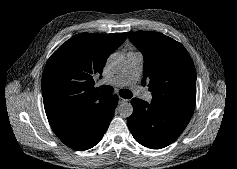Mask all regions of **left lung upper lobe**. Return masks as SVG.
I'll return each instance as SVG.
<instances>
[{
    "label": "left lung upper lobe",
    "mask_w": 237,
    "mask_h": 169,
    "mask_svg": "<svg viewBox=\"0 0 237 169\" xmlns=\"http://www.w3.org/2000/svg\"><path fill=\"white\" fill-rule=\"evenodd\" d=\"M144 56V80H149L152 100L193 114L196 104V71L184 46L159 32L128 33Z\"/></svg>",
    "instance_id": "1"
}]
</instances>
